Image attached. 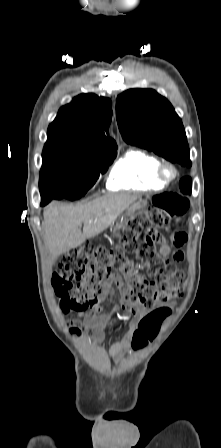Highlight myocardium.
<instances>
[{"mask_svg": "<svg viewBox=\"0 0 221 448\" xmlns=\"http://www.w3.org/2000/svg\"><path fill=\"white\" fill-rule=\"evenodd\" d=\"M168 171H171L172 173L171 176H168L167 174ZM156 176L160 182H162L165 185H168L177 178L178 170L172 162L163 161L160 162L157 167Z\"/></svg>", "mask_w": 221, "mask_h": 448, "instance_id": "f54148a6", "label": "myocardium"}]
</instances>
